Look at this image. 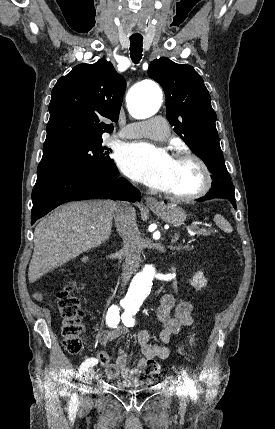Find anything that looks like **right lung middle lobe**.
Segmentation results:
<instances>
[{
  "instance_id": "obj_1",
  "label": "right lung middle lobe",
  "mask_w": 275,
  "mask_h": 429,
  "mask_svg": "<svg viewBox=\"0 0 275 429\" xmlns=\"http://www.w3.org/2000/svg\"><path fill=\"white\" fill-rule=\"evenodd\" d=\"M102 140L90 144H72L43 155L37 168V182L48 177L75 171L117 170L109 151L101 146Z\"/></svg>"
}]
</instances>
